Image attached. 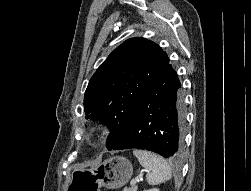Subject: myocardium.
Wrapping results in <instances>:
<instances>
[{"label": "myocardium", "mask_w": 251, "mask_h": 191, "mask_svg": "<svg viewBox=\"0 0 251 191\" xmlns=\"http://www.w3.org/2000/svg\"><path fill=\"white\" fill-rule=\"evenodd\" d=\"M107 130L102 126H92L83 132L84 142L93 149L102 148L107 141Z\"/></svg>", "instance_id": "myocardium-1"}]
</instances>
